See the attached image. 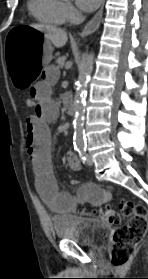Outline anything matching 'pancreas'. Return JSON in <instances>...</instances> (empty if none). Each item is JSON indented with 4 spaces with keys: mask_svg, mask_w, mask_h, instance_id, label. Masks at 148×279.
<instances>
[{
    "mask_svg": "<svg viewBox=\"0 0 148 279\" xmlns=\"http://www.w3.org/2000/svg\"><path fill=\"white\" fill-rule=\"evenodd\" d=\"M65 57H59L56 61L58 67L62 68L64 66V62H65Z\"/></svg>",
    "mask_w": 148,
    "mask_h": 279,
    "instance_id": "pancreas-1",
    "label": "pancreas"
}]
</instances>
